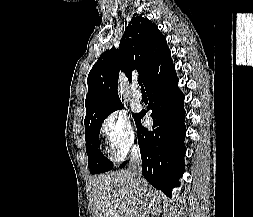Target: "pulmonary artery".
Returning <instances> with one entry per match:
<instances>
[{
	"label": "pulmonary artery",
	"mask_w": 253,
	"mask_h": 217,
	"mask_svg": "<svg viewBox=\"0 0 253 217\" xmlns=\"http://www.w3.org/2000/svg\"><path fill=\"white\" fill-rule=\"evenodd\" d=\"M133 98L137 102L142 101V98H143L141 92L137 89V85L136 84L133 85Z\"/></svg>",
	"instance_id": "obj_1"
}]
</instances>
